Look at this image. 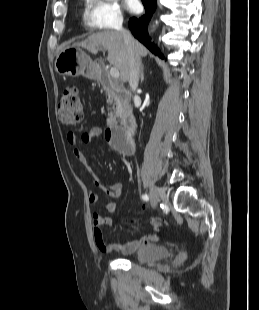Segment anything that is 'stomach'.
Listing matches in <instances>:
<instances>
[{
  "instance_id": "1",
  "label": "stomach",
  "mask_w": 259,
  "mask_h": 310,
  "mask_svg": "<svg viewBox=\"0 0 259 310\" xmlns=\"http://www.w3.org/2000/svg\"><path fill=\"white\" fill-rule=\"evenodd\" d=\"M55 69L59 74L71 77L83 75L93 78L95 76L90 57L77 46H68L58 54Z\"/></svg>"
}]
</instances>
